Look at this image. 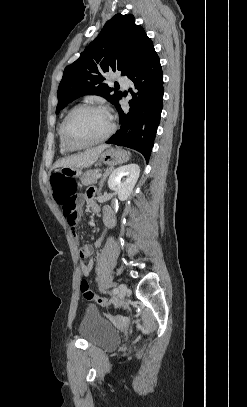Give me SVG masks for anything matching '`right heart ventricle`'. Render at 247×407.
Segmentation results:
<instances>
[{
  "instance_id": "1",
  "label": "right heart ventricle",
  "mask_w": 247,
  "mask_h": 407,
  "mask_svg": "<svg viewBox=\"0 0 247 407\" xmlns=\"http://www.w3.org/2000/svg\"><path fill=\"white\" fill-rule=\"evenodd\" d=\"M70 111H71V110H70ZM70 111H68V112L65 114V116H64L63 119L61 120V122H60V124H59V126H58V130H57L58 140H59V149H60V152H61L62 154H68V153H71V152L73 151L72 149L68 148V147L64 144L63 139H62V125H63V121H64L65 117L67 116V114H68Z\"/></svg>"
}]
</instances>
